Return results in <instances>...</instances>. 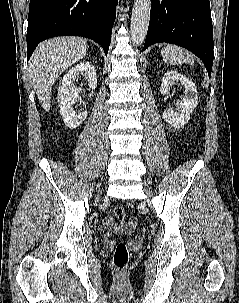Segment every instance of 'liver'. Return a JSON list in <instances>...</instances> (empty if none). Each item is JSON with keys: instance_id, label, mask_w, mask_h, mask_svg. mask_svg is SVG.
Segmentation results:
<instances>
[{"instance_id": "liver-1", "label": "liver", "mask_w": 239, "mask_h": 303, "mask_svg": "<svg viewBox=\"0 0 239 303\" xmlns=\"http://www.w3.org/2000/svg\"><path fill=\"white\" fill-rule=\"evenodd\" d=\"M87 51V40L81 37H57L41 43L34 51L29 72L42 107L49 111L51 89L58 76L81 60Z\"/></svg>"}]
</instances>
